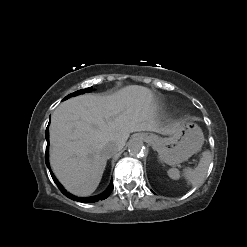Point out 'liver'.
Instances as JSON below:
<instances>
[{
    "mask_svg": "<svg viewBox=\"0 0 247 247\" xmlns=\"http://www.w3.org/2000/svg\"><path fill=\"white\" fill-rule=\"evenodd\" d=\"M152 91L129 85L101 96L84 94L61 103L50 124V164L61 184L72 194L88 196L98 187L107 160L108 143L120 150L130 133L152 131L163 135L173 132L178 123L160 127Z\"/></svg>",
    "mask_w": 247,
    "mask_h": 247,
    "instance_id": "1",
    "label": "liver"
}]
</instances>
